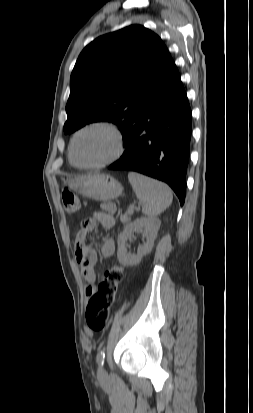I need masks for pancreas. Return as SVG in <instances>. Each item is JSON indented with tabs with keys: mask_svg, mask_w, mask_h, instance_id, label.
Returning a JSON list of instances; mask_svg holds the SVG:
<instances>
[{
	"mask_svg": "<svg viewBox=\"0 0 253 413\" xmlns=\"http://www.w3.org/2000/svg\"><path fill=\"white\" fill-rule=\"evenodd\" d=\"M132 213L133 212L131 211V208H129L128 211L125 214L120 216V221L122 223L128 222L129 219H130V216L132 215Z\"/></svg>",
	"mask_w": 253,
	"mask_h": 413,
	"instance_id": "cf45deb5",
	"label": "pancreas"
}]
</instances>
